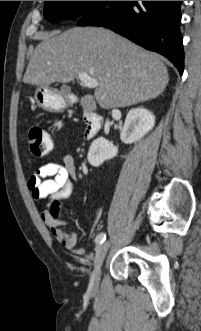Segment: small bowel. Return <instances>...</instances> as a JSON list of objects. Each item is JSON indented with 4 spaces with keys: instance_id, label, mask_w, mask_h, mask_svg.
<instances>
[{
    "instance_id": "small-bowel-1",
    "label": "small bowel",
    "mask_w": 201,
    "mask_h": 331,
    "mask_svg": "<svg viewBox=\"0 0 201 331\" xmlns=\"http://www.w3.org/2000/svg\"><path fill=\"white\" fill-rule=\"evenodd\" d=\"M75 174V159L72 155H66L62 163L48 162L40 167L29 177L27 185L32 197L37 201H43L47 208L68 199L73 193L71 176ZM42 220L50 228L53 236L65 248L75 255H83L85 250L77 248L78 235L68 233L60 228V225L68 220L62 216L53 215L47 209L43 210Z\"/></svg>"
}]
</instances>
